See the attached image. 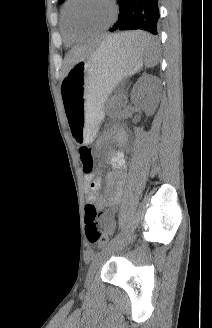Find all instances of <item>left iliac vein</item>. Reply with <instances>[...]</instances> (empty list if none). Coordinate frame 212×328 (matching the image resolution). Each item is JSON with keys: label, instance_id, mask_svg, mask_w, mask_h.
Masks as SVG:
<instances>
[{"label": "left iliac vein", "instance_id": "4c4485c4", "mask_svg": "<svg viewBox=\"0 0 212 328\" xmlns=\"http://www.w3.org/2000/svg\"><path fill=\"white\" fill-rule=\"evenodd\" d=\"M130 240V236L126 237L122 240H119L118 242H116L115 244L104 248L101 252H99L93 259L89 269H88V273H87V277H86V281L87 283H90L98 269V267L100 265H102L105 260L113 253L119 251L120 249H122L125 245H127V243Z\"/></svg>", "mask_w": 212, "mask_h": 328}]
</instances>
